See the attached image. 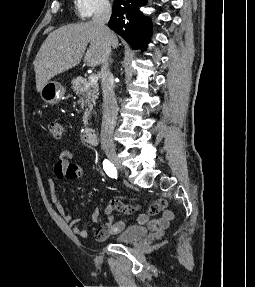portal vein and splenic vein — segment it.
<instances>
[{
  "label": "portal vein and splenic vein",
  "instance_id": "18ae733b",
  "mask_svg": "<svg viewBox=\"0 0 255 287\" xmlns=\"http://www.w3.org/2000/svg\"><path fill=\"white\" fill-rule=\"evenodd\" d=\"M98 82V76H89V84H86V88H89L90 84H96Z\"/></svg>",
  "mask_w": 255,
  "mask_h": 287
}]
</instances>
